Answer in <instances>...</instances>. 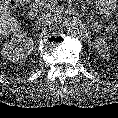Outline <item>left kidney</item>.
I'll list each match as a JSON object with an SVG mask.
<instances>
[{"mask_svg": "<svg viewBox=\"0 0 118 118\" xmlns=\"http://www.w3.org/2000/svg\"><path fill=\"white\" fill-rule=\"evenodd\" d=\"M95 48L97 49L98 54H100L102 57L109 56V49L105 39L98 37L95 40Z\"/></svg>", "mask_w": 118, "mask_h": 118, "instance_id": "left-kidney-1", "label": "left kidney"}]
</instances>
